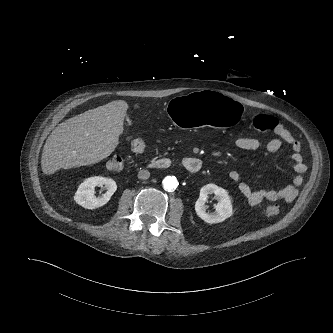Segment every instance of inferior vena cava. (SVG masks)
<instances>
[{
	"label": "inferior vena cava",
	"mask_w": 333,
	"mask_h": 333,
	"mask_svg": "<svg viewBox=\"0 0 333 333\" xmlns=\"http://www.w3.org/2000/svg\"><path fill=\"white\" fill-rule=\"evenodd\" d=\"M150 177V172L148 170H140L138 172V178L142 180H146Z\"/></svg>",
	"instance_id": "obj_1"
}]
</instances>
